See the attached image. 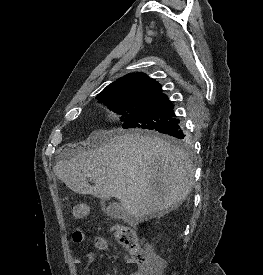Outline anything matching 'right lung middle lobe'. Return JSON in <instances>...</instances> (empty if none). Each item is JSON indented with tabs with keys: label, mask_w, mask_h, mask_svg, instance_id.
<instances>
[{
	"label": "right lung middle lobe",
	"mask_w": 263,
	"mask_h": 275,
	"mask_svg": "<svg viewBox=\"0 0 263 275\" xmlns=\"http://www.w3.org/2000/svg\"><path fill=\"white\" fill-rule=\"evenodd\" d=\"M96 98L110 110L121 115L124 129H146L156 132L179 121L174 114L172 103L165 96L136 97L125 92H111ZM167 137V141L175 145L186 146L181 139L170 135Z\"/></svg>",
	"instance_id": "obj_1"
}]
</instances>
